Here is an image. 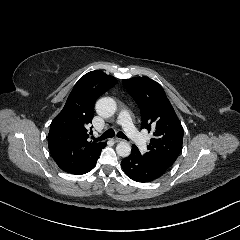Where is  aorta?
I'll return each instance as SVG.
<instances>
[{
	"label": "aorta",
	"mask_w": 240,
	"mask_h": 240,
	"mask_svg": "<svg viewBox=\"0 0 240 240\" xmlns=\"http://www.w3.org/2000/svg\"><path fill=\"white\" fill-rule=\"evenodd\" d=\"M117 111V102L112 97H102L96 103V112L103 118L112 117ZM116 152L121 157H127L131 153V145L127 141H120L116 146Z\"/></svg>",
	"instance_id": "obj_1"
}]
</instances>
